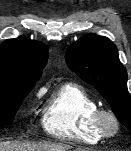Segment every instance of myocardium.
Returning a JSON list of instances; mask_svg holds the SVG:
<instances>
[{
  "label": "myocardium",
  "instance_id": "myocardium-1",
  "mask_svg": "<svg viewBox=\"0 0 131 151\" xmlns=\"http://www.w3.org/2000/svg\"><path fill=\"white\" fill-rule=\"evenodd\" d=\"M92 122L104 137H113L120 130V121L117 115L106 108H98L93 114Z\"/></svg>",
  "mask_w": 131,
  "mask_h": 151
}]
</instances>
